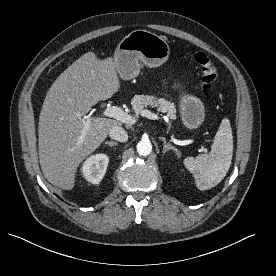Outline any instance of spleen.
I'll use <instances>...</instances> for the list:
<instances>
[{"instance_id":"3e777b00","label":"spleen","mask_w":276,"mask_h":276,"mask_svg":"<svg viewBox=\"0 0 276 276\" xmlns=\"http://www.w3.org/2000/svg\"><path fill=\"white\" fill-rule=\"evenodd\" d=\"M233 156V135L230 121L224 118L215 135L209 154L187 157L183 163L195 178L199 190H208L226 176Z\"/></svg>"}]
</instances>
